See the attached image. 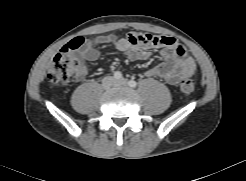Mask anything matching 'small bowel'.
<instances>
[{"label": "small bowel", "mask_w": 246, "mask_h": 181, "mask_svg": "<svg viewBox=\"0 0 246 181\" xmlns=\"http://www.w3.org/2000/svg\"><path fill=\"white\" fill-rule=\"evenodd\" d=\"M141 34L132 32L125 37L116 38L112 35L99 36L87 41L79 48L77 54L83 61H96L99 58L98 46L114 43L116 49L131 59H147L150 57L149 46L160 51L163 62L145 72L150 78H160L170 85H176L180 81L193 76L196 65L194 60L187 55L186 49L175 38L159 36L157 42L144 44L139 42ZM87 74V69L81 63L78 76Z\"/></svg>", "instance_id": "c3829d8e"}]
</instances>
